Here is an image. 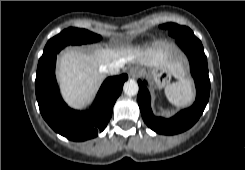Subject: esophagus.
<instances>
[{
    "mask_svg": "<svg viewBox=\"0 0 245 170\" xmlns=\"http://www.w3.org/2000/svg\"><path fill=\"white\" fill-rule=\"evenodd\" d=\"M129 76L131 78H137L139 76V71L136 68H134L129 72Z\"/></svg>",
    "mask_w": 245,
    "mask_h": 170,
    "instance_id": "34e87169",
    "label": "esophagus"
}]
</instances>
